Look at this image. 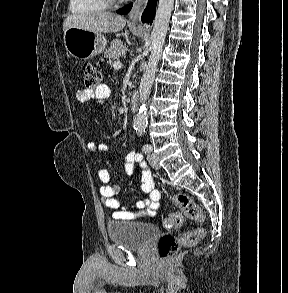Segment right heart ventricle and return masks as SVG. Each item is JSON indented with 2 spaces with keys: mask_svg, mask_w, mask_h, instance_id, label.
Segmentation results:
<instances>
[{
  "mask_svg": "<svg viewBox=\"0 0 288 293\" xmlns=\"http://www.w3.org/2000/svg\"><path fill=\"white\" fill-rule=\"evenodd\" d=\"M108 3L105 0H69V10L74 14H85L106 10Z\"/></svg>",
  "mask_w": 288,
  "mask_h": 293,
  "instance_id": "1",
  "label": "right heart ventricle"
}]
</instances>
